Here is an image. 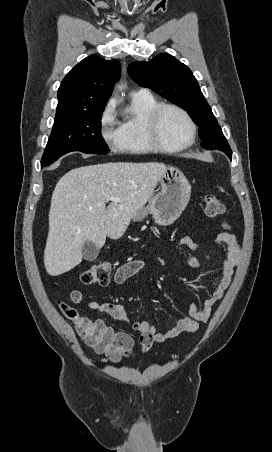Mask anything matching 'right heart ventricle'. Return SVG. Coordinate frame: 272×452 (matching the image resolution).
<instances>
[{"label": "right heart ventricle", "instance_id": "e07e8e85", "mask_svg": "<svg viewBox=\"0 0 272 452\" xmlns=\"http://www.w3.org/2000/svg\"><path fill=\"white\" fill-rule=\"evenodd\" d=\"M160 102L149 92H136L131 105L120 123L122 135L121 150L132 154H145L155 149L146 135V122L150 113Z\"/></svg>", "mask_w": 272, "mask_h": 452}]
</instances>
